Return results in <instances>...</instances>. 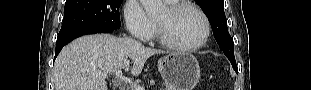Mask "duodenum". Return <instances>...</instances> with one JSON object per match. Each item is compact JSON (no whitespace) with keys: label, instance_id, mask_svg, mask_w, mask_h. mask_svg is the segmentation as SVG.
Returning <instances> with one entry per match:
<instances>
[{"label":"duodenum","instance_id":"duodenum-1","mask_svg":"<svg viewBox=\"0 0 311 90\" xmlns=\"http://www.w3.org/2000/svg\"><path fill=\"white\" fill-rule=\"evenodd\" d=\"M116 89H118V90H127V88H125V87H116Z\"/></svg>","mask_w":311,"mask_h":90}]
</instances>
